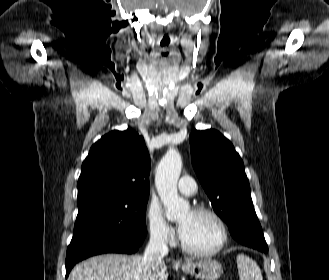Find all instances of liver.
I'll return each mask as SVG.
<instances>
[{"label":"liver","instance_id":"1","mask_svg":"<svg viewBox=\"0 0 329 280\" xmlns=\"http://www.w3.org/2000/svg\"><path fill=\"white\" fill-rule=\"evenodd\" d=\"M167 267L146 265L139 255L106 254L77 264L68 280H167Z\"/></svg>","mask_w":329,"mask_h":280}]
</instances>
